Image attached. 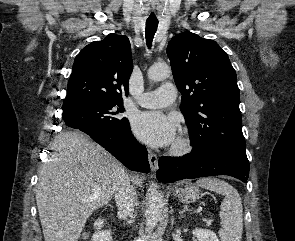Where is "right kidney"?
Segmentation results:
<instances>
[{
    "label": "right kidney",
    "mask_w": 295,
    "mask_h": 241,
    "mask_svg": "<svg viewBox=\"0 0 295 241\" xmlns=\"http://www.w3.org/2000/svg\"><path fill=\"white\" fill-rule=\"evenodd\" d=\"M104 225L103 219H97L94 222V227L98 230L92 236L91 241H112V236L110 231H102L101 228Z\"/></svg>",
    "instance_id": "1"
}]
</instances>
